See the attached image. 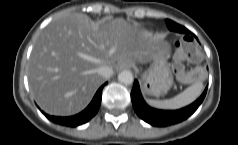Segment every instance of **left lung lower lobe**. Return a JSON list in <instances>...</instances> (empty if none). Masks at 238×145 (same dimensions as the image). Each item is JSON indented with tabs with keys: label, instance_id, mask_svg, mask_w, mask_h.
I'll return each mask as SVG.
<instances>
[{
	"label": "left lung lower lobe",
	"instance_id": "1",
	"mask_svg": "<svg viewBox=\"0 0 238 145\" xmlns=\"http://www.w3.org/2000/svg\"><path fill=\"white\" fill-rule=\"evenodd\" d=\"M174 24L176 26L174 27V30L172 31L185 33L186 34L185 37H188V38H190L188 36L189 34L193 35L185 27L178 25L176 23ZM206 92H207V88L204 90L202 95L194 103L180 110H175V111L157 110V109L149 107L146 104V102L144 101L141 95L139 83L137 80H135L132 91H131V100H132L134 111L141 119H143L145 122L153 126L166 127L169 125L182 122L183 120L191 116L204 100Z\"/></svg>",
	"mask_w": 238,
	"mask_h": 145
}]
</instances>
